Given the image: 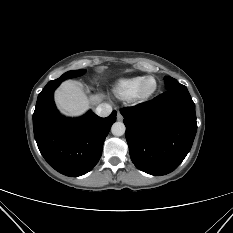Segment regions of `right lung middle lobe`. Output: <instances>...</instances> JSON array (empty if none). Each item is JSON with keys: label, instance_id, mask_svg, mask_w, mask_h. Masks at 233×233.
Masks as SVG:
<instances>
[{"label": "right lung middle lobe", "instance_id": "dd1d6c3e", "mask_svg": "<svg viewBox=\"0 0 233 233\" xmlns=\"http://www.w3.org/2000/svg\"><path fill=\"white\" fill-rule=\"evenodd\" d=\"M85 72H86L85 69L68 71V72L64 73L61 77L56 79V81H64L66 79H71V78H74V77H78V76L83 75Z\"/></svg>", "mask_w": 233, "mask_h": 233}]
</instances>
